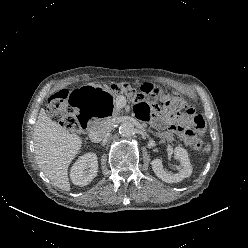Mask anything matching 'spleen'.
Masks as SVG:
<instances>
[{
	"mask_svg": "<svg viewBox=\"0 0 248 248\" xmlns=\"http://www.w3.org/2000/svg\"><path fill=\"white\" fill-rule=\"evenodd\" d=\"M210 150H211L210 144H207L205 146V148L203 149V152L206 153V154H208L210 152Z\"/></svg>",
	"mask_w": 248,
	"mask_h": 248,
	"instance_id": "1",
	"label": "spleen"
}]
</instances>
